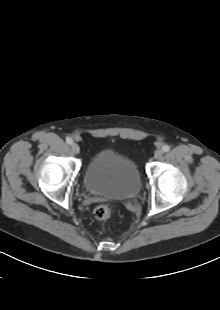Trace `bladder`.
I'll use <instances>...</instances> for the list:
<instances>
[{"label":"bladder","instance_id":"31cf9c89","mask_svg":"<svg viewBox=\"0 0 220 310\" xmlns=\"http://www.w3.org/2000/svg\"><path fill=\"white\" fill-rule=\"evenodd\" d=\"M83 185L89 194L109 199L136 197L142 186L137 164L112 148L98 151L83 173Z\"/></svg>","mask_w":220,"mask_h":310}]
</instances>
